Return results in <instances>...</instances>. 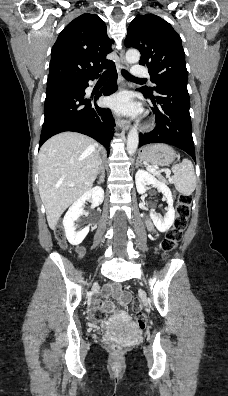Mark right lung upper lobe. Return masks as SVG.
Returning <instances> with one entry per match:
<instances>
[{"instance_id": "right-lung-upper-lobe-1", "label": "right lung upper lobe", "mask_w": 228, "mask_h": 396, "mask_svg": "<svg viewBox=\"0 0 228 396\" xmlns=\"http://www.w3.org/2000/svg\"><path fill=\"white\" fill-rule=\"evenodd\" d=\"M107 27L95 14L85 13L71 21L59 34L51 51L47 85L62 81H87L114 62Z\"/></svg>"}]
</instances>
